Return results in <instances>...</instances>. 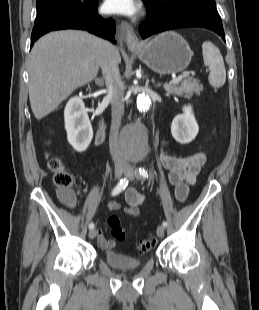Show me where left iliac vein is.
<instances>
[{
  "label": "left iliac vein",
  "mask_w": 259,
  "mask_h": 310,
  "mask_svg": "<svg viewBox=\"0 0 259 310\" xmlns=\"http://www.w3.org/2000/svg\"><path fill=\"white\" fill-rule=\"evenodd\" d=\"M135 172L136 171L134 170L133 167L127 166L126 171H125V175L132 179L135 175ZM156 232H157L158 237L162 238L164 236L165 229L163 226L160 225L157 227Z\"/></svg>",
  "instance_id": "left-iliac-vein-1"
}]
</instances>
